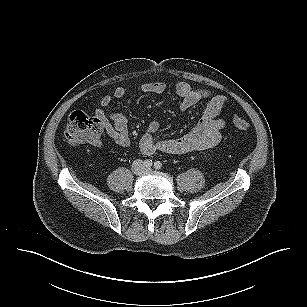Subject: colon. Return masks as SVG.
I'll return each instance as SVG.
<instances>
[{"instance_id":"5ec220e1","label":"colon","mask_w":307,"mask_h":307,"mask_svg":"<svg viewBox=\"0 0 307 307\" xmlns=\"http://www.w3.org/2000/svg\"><path fill=\"white\" fill-rule=\"evenodd\" d=\"M233 125L239 130H247L249 123L240 117L232 118ZM102 133L100 121L81 111L73 112L67 121L65 139L68 144L77 146L84 143H95Z\"/></svg>"}]
</instances>
